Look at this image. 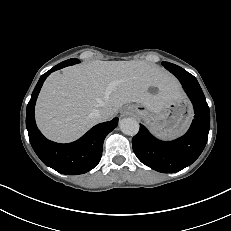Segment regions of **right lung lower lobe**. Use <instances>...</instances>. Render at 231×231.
Listing matches in <instances>:
<instances>
[{"instance_id": "obj_1", "label": "right lung lower lobe", "mask_w": 231, "mask_h": 231, "mask_svg": "<svg viewBox=\"0 0 231 231\" xmlns=\"http://www.w3.org/2000/svg\"><path fill=\"white\" fill-rule=\"evenodd\" d=\"M70 63H60L43 74L27 105L26 127L30 143L41 161L59 173L68 175L83 174L93 169L102 156L103 141L118 123V118L100 123L91 128L84 136L69 144H58L47 140L38 130L34 108L37 96L47 76Z\"/></svg>"}]
</instances>
